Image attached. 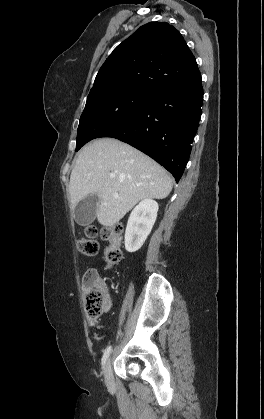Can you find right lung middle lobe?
Segmentation results:
<instances>
[{
  "instance_id": "right-lung-middle-lobe-1",
  "label": "right lung middle lobe",
  "mask_w": 264,
  "mask_h": 419,
  "mask_svg": "<svg viewBox=\"0 0 264 419\" xmlns=\"http://www.w3.org/2000/svg\"><path fill=\"white\" fill-rule=\"evenodd\" d=\"M152 94L135 86H109L90 92L80 117L76 151L127 119Z\"/></svg>"
}]
</instances>
